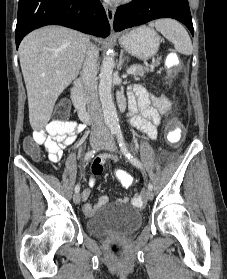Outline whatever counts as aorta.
I'll use <instances>...</instances> for the list:
<instances>
[{"instance_id": "762f6f07", "label": "aorta", "mask_w": 227, "mask_h": 279, "mask_svg": "<svg viewBox=\"0 0 227 279\" xmlns=\"http://www.w3.org/2000/svg\"><path fill=\"white\" fill-rule=\"evenodd\" d=\"M114 68V59L111 55H106L103 58L100 82H99V97L102 104V111L105 124L115 130L119 127L116 107L112 97V74Z\"/></svg>"}]
</instances>
